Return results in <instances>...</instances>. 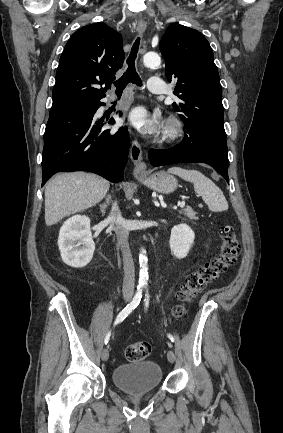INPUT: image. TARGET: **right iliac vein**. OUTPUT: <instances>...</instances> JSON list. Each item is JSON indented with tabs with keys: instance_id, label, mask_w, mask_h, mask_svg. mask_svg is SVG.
Instances as JSON below:
<instances>
[{
	"instance_id": "63e3f726",
	"label": "right iliac vein",
	"mask_w": 283,
	"mask_h": 433,
	"mask_svg": "<svg viewBox=\"0 0 283 433\" xmlns=\"http://www.w3.org/2000/svg\"><path fill=\"white\" fill-rule=\"evenodd\" d=\"M130 299L128 297L125 298V302H128ZM101 358L103 361H107L109 358V351L107 348H104L101 353Z\"/></svg>"
}]
</instances>
